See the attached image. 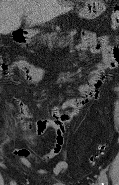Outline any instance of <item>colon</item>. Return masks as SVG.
<instances>
[{
    "label": "colon",
    "instance_id": "5ec220e1",
    "mask_svg": "<svg viewBox=\"0 0 119 185\" xmlns=\"http://www.w3.org/2000/svg\"><path fill=\"white\" fill-rule=\"evenodd\" d=\"M110 20H111V27L112 28H117L119 26V6H115L113 8ZM105 147H106L105 144L100 145L98 147L99 153H101L105 149ZM96 158H97V156H92L90 158V162L94 163Z\"/></svg>",
    "mask_w": 119,
    "mask_h": 185
}]
</instances>
